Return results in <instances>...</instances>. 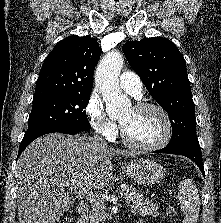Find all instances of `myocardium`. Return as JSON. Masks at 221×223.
Instances as JSON below:
<instances>
[{"mask_svg": "<svg viewBox=\"0 0 221 223\" xmlns=\"http://www.w3.org/2000/svg\"><path fill=\"white\" fill-rule=\"evenodd\" d=\"M133 109L134 110H154L158 112L164 120L165 132L162 138L154 144H150V145L139 144V143L133 142L132 140L128 138L124 130V127L122 126V124H120V131H121L120 136H121L122 142L131 149L138 150V151H145V152L157 151L167 146L173 136V122L168 112L162 106L158 104H153V103H140V104H137Z\"/></svg>", "mask_w": 221, "mask_h": 223, "instance_id": "1", "label": "myocardium"}]
</instances>
